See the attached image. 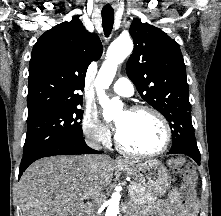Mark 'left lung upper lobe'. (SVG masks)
I'll list each match as a JSON object with an SVG mask.
<instances>
[{
	"label": "left lung upper lobe",
	"mask_w": 221,
	"mask_h": 216,
	"mask_svg": "<svg viewBox=\"0 0 221 216\" xmlns=\"http://www.w3.org/2000/svg\"><path fill=\"white\" fill-rule=\"evenodd\" d=\"M134 51L126 72L141 97L172 129L171 149L199 153L191 121L186 68L178 43L165 32L135 18L130 27Z\"/></svg>",
	"instance_id": "1"
}]
</instances>
